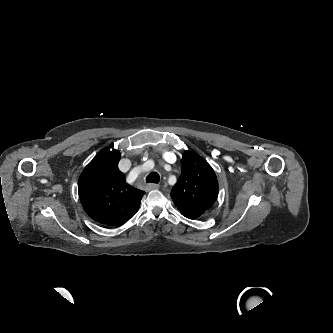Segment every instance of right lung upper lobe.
I'll return each mask as SVG.
<instances>
[{"mask_svg":"<svg viewBox=\"0 0 333 333\" xmlns=\"http://www.w3.org/2000/svg\"><path fill=\"white\" fill-rule=\"evenodd\" d=\"M120 152L104 148L85 167L78 181L80 201L96 222L121 226L138 211L143 191L125 181L119 171Z\"/></svg>","mask_w":333,"mask_h":333,"instance_id":"cb5924a9","label":"right lung upper lobe"}]
</instances>
